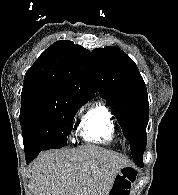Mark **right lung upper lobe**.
Returning a JSON list of instances; mask_svg holds the SVG:
<instances>
[{
	"label": "right lung upper lobe",
	"instance_id": "right-lung-upper-lobe-1",
	"mask_svg": "<svg viewBox=\"0 0 178 195\" xmlns=\"http://www.w3.org/2000/svg\"><path fill=\"white\" fill-rule=\"evenodd\" d=\"M97 91L89 50L69 40L47 48L24 77L21 98L89 101Z\"/></svg>",
	"mask_w": 178,
	"mask_h": 195
}]
</instances>
